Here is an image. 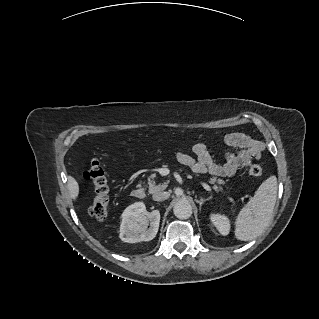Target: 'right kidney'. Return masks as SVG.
<instances>
[{
	"mask_svg": "<svg viewBox=\"0 0 319 319\" xmlns=\"http://www.w3.org/2000/svg\"><path fill=\"white\" fill-rule=\"evenodd\" d=\"M159 223L160 212L158 210L147 212L143 202H136L127 207L122 214L120 238L128 243L150 241L155 238Z\"/></svg>",
	"mask_w": 319,
	"mask_h": 319,
	"instance_id": "ca27d5eb",
	"label": "right kidney"
}]
</instances>
